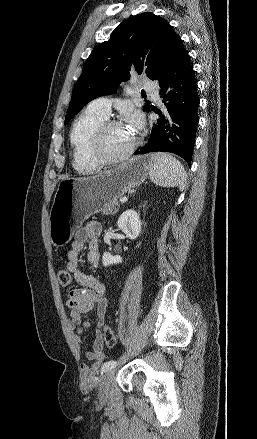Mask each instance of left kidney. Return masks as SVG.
Masks as SVG:
<instances>
[{"instance_id":"5707ae66","label":"left kidney","mask_w":257,"mask_h":439,"mask_svg":"<svg viewBox=\"0 0 257 439\" xmlns=\"http://www.w3.org/2000/svg\"><path fill=\"white\" fill-rule=\"evenodd\" d=\"M141 225L142 222L139 214L132 209L124 211L117 221L118 228L131 240H134L139 236ZM121 262L122 257L120 255L113 256L109 252H105L102 256V263L105 267L112 264H119Z\"/></svg>"}]
</instances>
